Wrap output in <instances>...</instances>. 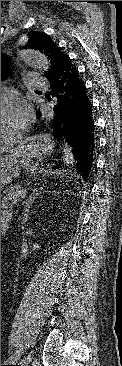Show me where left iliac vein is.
I'll list each match as a JSON object with an SVG mask.
<instances>
[{"label":"left iliac vein","instance_id":"4c4485c4","mask_svg":"<svg viewBox=\"0 0 122 366\" xmlns=\"http://www.w3.org/2000/svg\"><path fill=\"white\" fill-rule=\"evenodd\" d=\"M20 354H21V349L17 350L15 352V354L13 356H11V359L13 360H18L20 358ZM32 360V357H31V354H28L26 355L24 358H23V365L24 366H28V364L31 362Z\"/></svg>","mask_w":122,"mask_h":366}]
</instances>
